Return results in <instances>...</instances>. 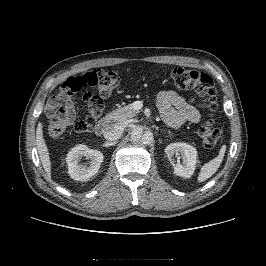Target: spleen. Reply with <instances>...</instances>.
Segmentation results:
<instances>
[{
    "label": "spleen",
    "mask_w": 266,
    "mask_h": 266,
    "mask_svg": "<svg viewBox=\"0 0 266 266\" xmlns=\"http://www.w3.org/2000/svg\"><path fill=\"white\" fill-rule=\"evenodd\" d=\"M225 152H226V145H222L218 155L213 158L212 160H210L209 162L205 163L201 169H200V173L198 175L197 181L199 183H202L204 181H206L207 179H209L210 177H212L217 170L219 169L223 158L225 156Z\"/></svg>",
    "instance_id": "3e777b00"
}]
</instances>
